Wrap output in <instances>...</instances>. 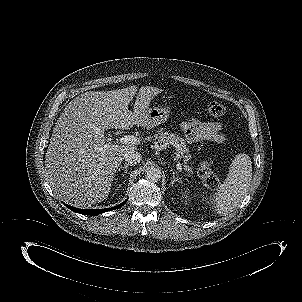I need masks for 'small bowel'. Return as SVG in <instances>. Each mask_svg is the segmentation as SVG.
Returning a JSON list of instances; mask_svg holds the SVG:
<instances>
[{"label":"small bowel","mask_w":302,"mask_h":302,"mask_svg":"<svg viewBox=\"0 0 302 302\" xmlns=\"http://www.w3.org/2000/svg\"><path fill=\"white\" fill-rule=\"evenodd\" d=\"M180 128L189 142L210 141L221 143L225 140L222 126L218 122L186 120L180 124Z\"/></svg>","instance_id":"obj_1"}]
</instances>
